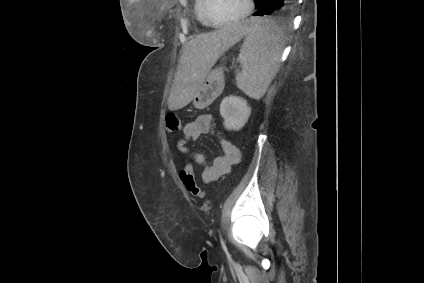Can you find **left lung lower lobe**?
Wrapping results in <instances>:
<instances>
[{"instance_id": "1", "label": "left lung lower lobe", "mask_w": 424, "mask_h": 283, "mask_svg": "<svg viewBox=\"0 0 424 283\" xmlns=\"http://www.w3.org/2000/svg\"><path fill=\"white\" fill-rule=\"evenodd\" d=\"M254 2L257 11L253 15L264 16L292 8L295 0H255Z\"/></svg>"}]
</instances>
